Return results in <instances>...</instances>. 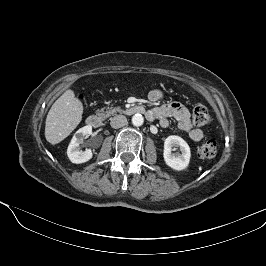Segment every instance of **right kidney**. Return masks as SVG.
Returning <instances> with one entry per match:
<instances>
[{
	"instance_id": "ca27d5eb",
	"label": "right kidney",
	"mask_w": 266,
	"mask_h": 266,
	"mask_svg": "<svg viewBox=\"0 0 266 266\" xmlns=\"http://www.w3.org/2000/svg\"><path fill=\"white\" fill-rule=\"evenodd\" d=\"M92 133V126L87 125L80 128L73 136L68 149L67 155L69 160L72 163L80 164L89 161L93 154L91 149H86L82 151L79 146L83 143L86 136H89Z\"/></svg>"
}]
</instances>
